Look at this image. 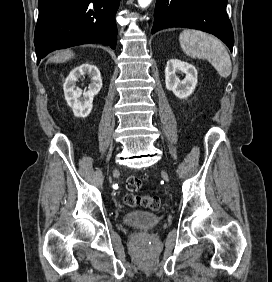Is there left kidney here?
I'll list each match as a JSON object with an SVG mask.
<instances>
[{
    "label": "left kidney",
    "instance_id": "left-kidney-1",
    "mask_svg": "<svg viewBox=\"0 0 272 282\" xmlns=\"http://www.w3.org/2000/svg\"><path fill=\"white\" fill-rule=\"evenodd\" d=\"M184 73L185 78L180 80L177 73ZM165 85L167 90L172 91L179 99L189 97L197 85L196 68L179 59H170L165 67Z\"/></svg>",
    "mask_w": 272,
    "mask_h": 282
}]
</instances>
